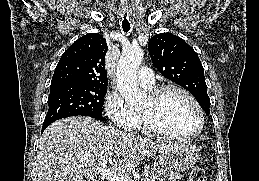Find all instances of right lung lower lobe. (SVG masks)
I'll return each mask as SVG.
<instances>
[{
    "mask_svg": "<svg viewBox=\"0 0 259 181\" xmlns=\"http://www.w3.org/2000/svg\"><path fill=\"white\" fill-rule=\"evenodd\" d=\"M47 127H48V125H43V126H42V132H43ZM42 132H41V133H42Z\"/></svg>",
    "mask_w": 259,
    "mask_h": 181,
    "instance_id": "obj_1",
    "label": "right lung lower lobe"
}]
</instances>
